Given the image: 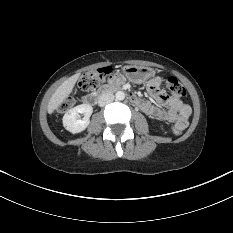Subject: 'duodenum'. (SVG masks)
Wrapping results in <instances>:
<instances>
[{
  "label": "duodenum",
  "instance_id": "1",
  "mask_svg": "<svg viewBox=\"0 0 233 233\" xmlns=\"http://www.w3.org/2000/svg\"><path fill=\"white\" fill-rule=\"evenodd\" d=\"M118 89H119L118 85H114V84L107 85V86L103 87L101 90H99L98 92L87 94L83 98V101L87 104H90V105L96 104L98 102V100L101 98V96H103L107 93L116 91ZM130 99L136 105L139 103V99L134 95H131Z\"/></svg>",
  "mask_w": 233,
  "mask_h": 233
}]
</instances>
